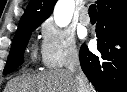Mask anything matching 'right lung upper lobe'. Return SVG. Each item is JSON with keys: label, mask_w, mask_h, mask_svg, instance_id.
Listing matches in <instances>:
<instances>
[{"label": "right lung upper lobe", "mask_w": 127, "mask_h": 92, "mask_svg": "<svg viewBox=\"0 0 127 92\" xmlns=\"http://www.w3.org/2000/svg\"><path fill=\"white\" fill-rule=\"evenodd\" d=\"M57 0H31L19 22L16 34L24 29L40 25L53 12ZM98 13L118 9L127 4V0H97Z\"/></svg>", "instance_id": "cb5924a9"}]
</instances>
